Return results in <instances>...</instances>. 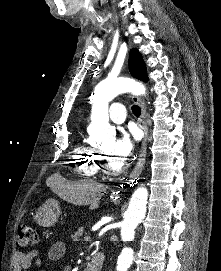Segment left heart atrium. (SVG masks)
Wrapping results in <instances>:
<instances>
[{"label":"left heart atrium","mask_w":221,"mask_h":271,"mask_svg":"<svg viewBox=\"0 0 221 271\" xmlns=\"http://www.w3.org/2000/svg\"><path fill=\"white\" fill-rule=\"evenodd\" d=\"M139 131L122 134V142H113L111 157H130V152L136 147V142L141 139Z\"/></svg>","instance_id":"left-heart-atrium-1"}]
</instances>
